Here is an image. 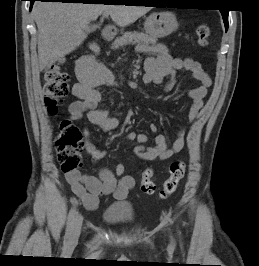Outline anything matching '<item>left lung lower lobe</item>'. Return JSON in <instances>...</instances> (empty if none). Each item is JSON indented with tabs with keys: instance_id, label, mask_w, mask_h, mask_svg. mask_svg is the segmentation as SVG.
<instances>
[{
	"instance_id": "left-lung-lower-lobe-1",
	"label": "left lung lower lobe",
	"mask_w": 259,
	"mask_h": 266,
	"mask_svg": "<svg viewBox=\"0 0 259 266\" xmlns=\"http://www.w3.org/2000/svg\"><path fill=\"white\" fill-rule=\"evenodd\" d=\"M222 12L225 29H228V10H220Z\"/></svg>"
}]
</instances>
